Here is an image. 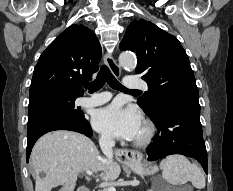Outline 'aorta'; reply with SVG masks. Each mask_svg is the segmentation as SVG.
I'll list each match as a JSON object with an SVG mask.
<instances>
[{
  "instance_id": "762f6f07",
  "label": "aorta",
  "mask_w": 233,
  "mask_h": 191,
  "mask_svg": "<svg viewBox=\"0 0 233 191\" xmlns=\"http://www.w3.org/2000/svg\"><path fill=\"white\" fill-rule=\"evenodd\" d=\"M119 64L127 71H133L137 65V59L131 52H122L119 55Z\"/></svg>"
}]
</instances>
